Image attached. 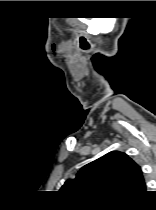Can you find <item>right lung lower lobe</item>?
Returning <instances> with one entry per match:
<instances>
[{"label": "right lung lower lobe", "mask_w": 156, "mask_h": 210, "mask_svg": "<svg viewBox=\"0 0 156 210\" xmlns=\"http://www.w3.org/2000/svg\"><path fill=\"white\" fill-rule=\"evenodd\" d=\"M141 196H142V195H141ZM141 196H139V197L133 199L132 201L138 200L139 198H141Z\"/></svg>", "instance_id": "obj_1"}]
</instances>
